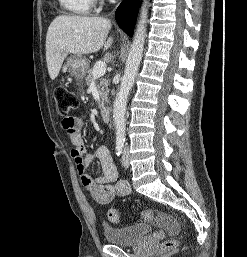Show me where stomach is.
I'll use <instances>...</instances> for the list:
<instances>
[{"mask_svg":"<svg viewBox=\"0 0 247 257\" xmlns=\"http://www.w3.org/2000/svg\"><path fill=\"white\" fill-rule=\"evenodd\" d=\"M66 65L77 79H83L88 70L87 59L79 55H71L67 59Z\"/></svg>","mask_w":247,"mask_h":257,"instance_id":"stomach-1","label":"stomach"}]
</instances>
